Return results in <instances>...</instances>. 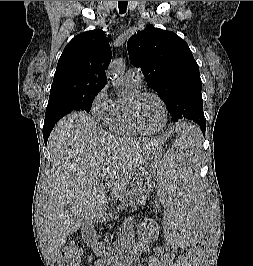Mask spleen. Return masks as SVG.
Instances as JSON below:
<instances>
[{"instance_id":"3e777b00","label":"spleen","mask_w":253,"mask_h":266,"mask_svg":"<svg viewBox=\"0 0 253 266\" xmlns=\"http://www.w3.org/2000/svg\"><path fill=\"white\" fill-rule=\"evenodd\" d=\"M171 135L169 153H164L158 167L162 169L153 186V193L162 201L164 220V248H200L205 241V216H213V207H205L202 184L203 156H206V135L199 132L192 123H175Z\"/></svg>"}]
</instances>
